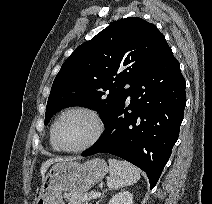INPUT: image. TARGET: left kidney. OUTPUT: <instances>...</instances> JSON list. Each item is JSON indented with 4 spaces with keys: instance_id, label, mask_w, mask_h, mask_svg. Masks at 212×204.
Masks as SVG:
<instances>
[{
    "instance_id": "obj_1",
    "label": "left kidney",
    "mask_w": 212,
    "mask_h": 204,
    "mask_svg": "<svg viewBox=\"0 0 212 204\" xmlns=\"http://www.w3.org/2000/svg\"><path fill=\"white\" fill-rule=\"evenodd\" d=\"M109 204H133V195L129 191H122L115 194Z\"/></svg>"
}]
</instances>
